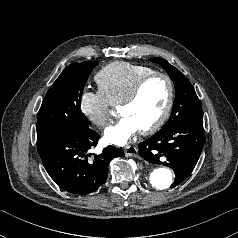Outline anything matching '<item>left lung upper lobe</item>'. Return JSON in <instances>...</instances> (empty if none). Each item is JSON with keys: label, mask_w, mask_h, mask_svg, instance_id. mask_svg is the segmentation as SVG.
<instances>
[{"label": "left lung upper lobe", "mask_w": 238, "mask_h": 238, "mask_svg": "<svg viewBox=\"0 0 238 238\" xmlns=\"http://www.w3.org/2000/svg\"><path fill=\"white\" fill-rule=\"evenodd\" d=\"M151 61L160 64L166 70L176 89V97L171 116L161 130L169 129L176 124L186 121H203L200 101L189 80L166 60L152 58Z\"/></svg>", "instance_id": "5c2ea615"}]
</instances>
